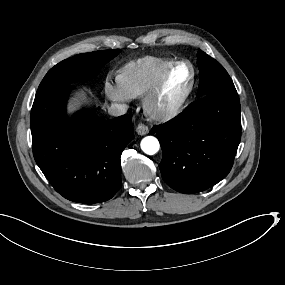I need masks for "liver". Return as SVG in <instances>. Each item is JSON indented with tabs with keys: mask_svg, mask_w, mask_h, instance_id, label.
I'll list each match as a JSON object with an SVG mask.
<instances>
[{
	"mask_svg": "<svg viewBox=\"0 0 285 285\" xmlns=\"http://www.w3.org/2000/svg\"><path fill=\"white\" fill-rule=\"evenodd\" d=\"M86 91H88L91 94V91L87 88L84 87ZM87 95L86 92L83 91L82 89H79L76 93L75 96L70 100L69 105H68V111L73 112L77 110L83 103L87 102Z\"/></svg>",
	"mask_w": 285,
	"mask_h": 285,
	"instance_id": "liver-1",
	"label": "liver"
}]
</instances>
